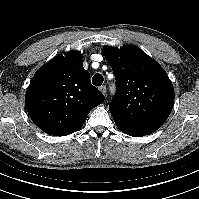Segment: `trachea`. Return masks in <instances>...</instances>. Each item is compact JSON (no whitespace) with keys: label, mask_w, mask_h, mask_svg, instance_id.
<instances>
[{"label":"trachea","mask_w":199,"mask_h":199,"mask_svg":"<svg viewBox=\"0 0 199 199\" xmlns=\"http://www.w3.org/2000/svg\"><path fill=\"white\" fill-rule=\"evenodd\" d=\"M103 76L99 73L95 74L92 78V84L95 86H100L103 83Z\"/></svg>","instance_id":"obj_1"}]
</instances>
